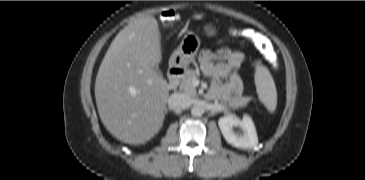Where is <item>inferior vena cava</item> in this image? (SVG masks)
<instances>
[{
  "mask_svg": "<svg viewBox=\"0 0 365 180\" xmlns=\"http://www.w3.org/2000/svg\"><path fill=\"white\" fill-rule=\"evenodd\" d=\"M191 104L190 97L184 93H174L168 99L170 109H185Z\"/></svg>",
  "mask_w": 365,
  "mask_h": 180,
  "instance_id": "obj_1",
  "label": "inferior vena cava"
}]
</instances>
